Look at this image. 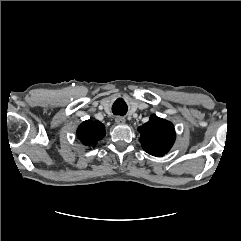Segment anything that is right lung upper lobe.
I'll list each match as a JSON object with an SVG mask.
<instances>
[{
	"mask_svg": "<svg viewBox=\"0 0 241 241\" xmlns=\"http://www.w3.org/2000/svg\"><path fill=\"white\" fill-rule=\"evenodd\" d=\"M106 135L105 126L99 121L87 120L77 130L78 139L88 147H94Z\"/></svg>",
	"mask_w": 241,
	"mask_h": 241,
	"instance_id": "1",
	"label": "right lung upper lobe"
}]
</instances>
